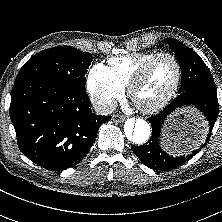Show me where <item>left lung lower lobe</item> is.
<instances>
[{
  "mask_svg": "<svg viewBox=\"0 0 222 222\" xmlns=\"http://www.w3.org/2000/svg\"><path fill=\"white\" fill-rule=\"evenodd\" d=\"M184 105H192L197 108L206 118L207 137L206 141L191 153L184 156H171L164 152L159 144L161 128L168 115L177 108ZM218 116L217 92L204 89H191L180 93L162 112L148 119L152 126L151 139L146 145L132 146L133 152L140 161L153 170H171L175 169L190 160L198 151H200L209 141L213 126ZM206 131V130H205Z\"/></svg>",
  "mask_w": 222,
  "mask_h": 222,
  "instance_id": "1",
  "label": "left lung lower lobe"
}]
</instances>
